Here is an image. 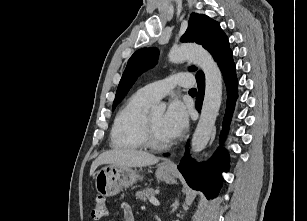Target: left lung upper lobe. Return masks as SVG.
Wrapping results in <instances>:
<instances>
[{"instance_id":"1","label":"left lung upper lobe","mask_w":307,"mask_h":221,"mask_svg":"<svg viewBox=\"0 0 307 221\" xmlns=\"http://www.w3.org/2000/svg\"><path fill=\"white\" fill-rule=\"evenodd\" d=\"M182 42H196L201 44L213 56L219 64L231 52L227 36L221 30L218 22L206 15L192 13L188 22V28L181 38ZM158 58L156 48H142L137 50L128 60L125 71L117 88L112 109L124 98L138 76L152 67ZM194 66L189 67L194 71ZM204 77L202 71L196 73V79Z\"/></svg>"}]
</instances>
